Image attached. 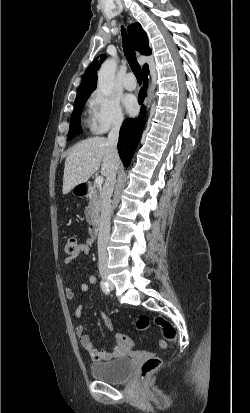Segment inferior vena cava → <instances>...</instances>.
<instances>
[{"label": "inferior vena cava", "instance_id": "inferior-vena-cava-1", "mask_svg": "<svg viewBox=\"0 0 250 413\" xmlns=\"http://www.w3.org/2000/svg\"><path fill=\"white\" fill-rule=\"evenodd\" d=\"M123 119L120 118L114 122L109 134H108V145L111 149V154L113 158H118L117 143L119 138V130L121 127ZM116 172L117 168H113L103 187L102 193V206H101V217L99 222V234H98V257H99V268L105 269L108 265V256L106 247L110 236V220H111V196L114 190V185L116 182Z\"/></svg>", "mask_w": 250, "mask_h": 413}]
</instances>
